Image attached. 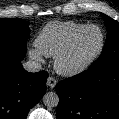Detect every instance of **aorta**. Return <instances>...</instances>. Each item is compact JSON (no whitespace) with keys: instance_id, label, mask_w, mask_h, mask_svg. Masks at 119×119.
<instances>
[{"instance_id":"obj_1","label":"aorta","mask_w":119,"mask_h":119,"mask_svg":"<svg viewBox=\"0 0 119 119\" xmlns=\"http://www.w3.org/2000/svg\"><path fill=\"white\" fill-rule=\"evenodd\" d=\"M43 103L48 108H53L58 106L59 97L55 92H47L43 96Z\"/></svg>"}]
</instances>
